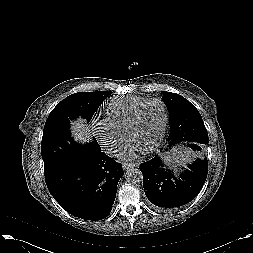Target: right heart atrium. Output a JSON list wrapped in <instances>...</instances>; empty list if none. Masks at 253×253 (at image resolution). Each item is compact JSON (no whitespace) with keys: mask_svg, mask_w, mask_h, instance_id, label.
<instances>
[{"mask_svg":"<svg viewBox=\"0 0 253 253\" xmlns=\"http://www.w3.org/2000/svg\"><path fill=\"white\" fill-rule=\"evenodd\" d=\"M92 128L98 142L106 152L114 154L120 149L125 135L117 130L108 119L94 118Z\"/></svg>","mask_w":253,"mask_h":253,"instance_id":"obj_1","label":"right heart atrium"}]
</instances>
